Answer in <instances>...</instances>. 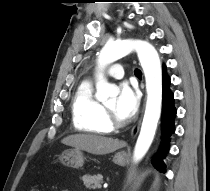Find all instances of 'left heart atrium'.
<instances>
[{
  "label": "left heart atrium",
  "mask_w": 210,
  "mask_h": 191,
  "mask_svg": "<svg viewBox=\"0 0 210 191\" xmlns=\"http://www.w3.org/2000/svg\"><path fill=\"white\" fill-rule=\"evenodd\" d=\"M139 106L138 93L126 82L119 86V96L116 102V113L123 119L131 118Z\"/></svg>",
  "instance_id": "obj_1"
}]
</instances>
